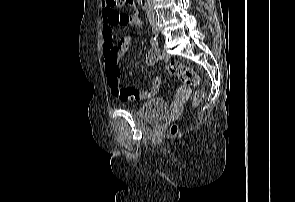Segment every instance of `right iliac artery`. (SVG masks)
Listing matches in <instances>:
<instances>
[{
  "label": "right iliac artery",
  "mask_w": 295,
  "mask_h": 202,
  "mask_svg": "<svg viewBox=\"0 0 295 202\" xmlns=\"http://www.w3.org/2000/svg\"><path fill=\"white\" fill-rule=\"evenodd\" d=\"M150 42L153 47H156L158 45V41L156 37H152Z\"/></svg>",
  "instance_id": "obj_1"
}]
</instances>
